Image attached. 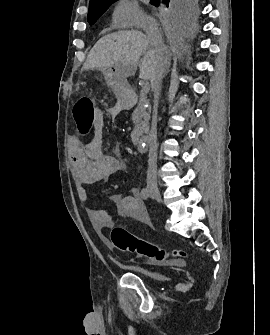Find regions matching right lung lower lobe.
<instances>
[{"mask_svg": "<svg viewBox=\"0 0 270 335\" xmlns=\"http://www.w3.org/2000/svg\"><path fill=\"white\" fill-rule=\"evenodd\" d=\"M164 2H165V3H164ZM172 2H173V1H172ZM172 2H170V1L168 2L167 0H162V2H161V3L165 4V6H166V4H169V5H171V3H172Z\"/></svg>", "mask_w": 270, "mask_h": 335, "instance_id": "1", "label": "right lung lower lobe"}]
</instances>
